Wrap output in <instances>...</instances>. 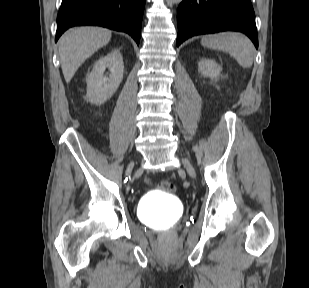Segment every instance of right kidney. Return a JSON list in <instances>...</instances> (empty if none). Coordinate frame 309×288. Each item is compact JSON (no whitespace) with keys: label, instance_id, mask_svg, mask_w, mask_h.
<instances>
[{"label":"right kidney","instance_id":"1","mask_svg":"<svg viewBox=\"0 0 309 288\" xmlns=\"http://www.w3.org/2000/svg\"><path fill=\"white\" fill-rule=\"evenodd\" d=\"M109 69V76H104ZM124 64L119 50H113L101 57L87 76V100L100 105L110 99L123 79Z\"/></svg>","mask_w":309,"mask_h":288}]
</instances>
